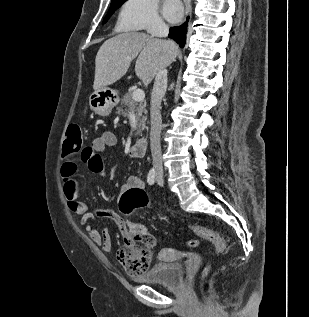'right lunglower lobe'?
Instances as JSON below:
<instances>
[{"label": "right lung lower lobe", "mask_w": 309, "mask_h": 317, "mask_svg": "<svg viewBox=\"0 0 309 317\" xmlns=\"http://www.w3.org/2000/svg\"><path fill=\"white\" fill-rule=\"evenodd\" d=\"M189 17L187 18V22ZM185 22L179 27H171L169 32V38L175 40L181 48L184 47L185 40H186V33H187V25L188 23Z\"/></svg>", "instance_id": "right-lung-lower-lobe-1"}]
</instances>
